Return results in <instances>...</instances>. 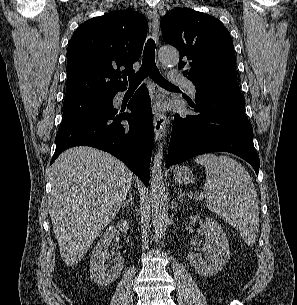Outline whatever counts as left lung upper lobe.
<instances>
[{
	"instance_id": "left-lung-upper-lobe-1",
	"label": "left lung upper lobe",
	"mask_w": 297,
	"mask_h": 305,
	"mask_svg": "<svg viewBox=\"0 0 297 305\" xmlns=\"http://www.w3.org/2000/svg\"><path fill=\"white\" fill-rule=\"evenodd\" d=\"M166 43L178 48L179 68L203 91L224 83L237 81L236 59L232 38L215 17L189 8H175L160 22Z\"/></svg>"
}]
</instances>
